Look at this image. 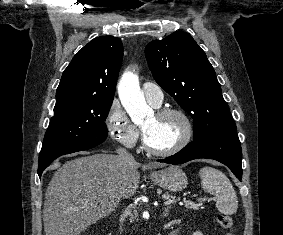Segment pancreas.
I'll list each match as a JSON object with an SVG mask.
<instances>
[{
    "instance_id": "obj_1",
    "label": "pancreas",
    "mask_w": 283,
    "mask_h": 235,
    "mask_svg": "<svg viewBox=\"0 0 283 235\" xmlns=\"http://www.w3.org/2000/svg\"><path fill=\"white\" fill-rule=\"evenodd\" d=\"M164 197L166 199L170 198L169 195H164ZM171 198H173V197H171ZM185 207L188 208V209L199 210L201 208V204H197V203H194V202H188V203L185 204Z\"/></svg>"
}]
</instances>
